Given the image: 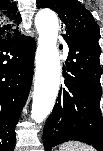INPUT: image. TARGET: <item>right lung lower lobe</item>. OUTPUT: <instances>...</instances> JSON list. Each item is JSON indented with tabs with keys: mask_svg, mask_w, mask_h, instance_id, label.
I'll return each instance as SVG.
<instances>
[{
	"mask_svg": "<svg viewBox=\"0 0 103 151\" xmlns=\"http://www.w3.org/2000/svg\"><path fill=\"white\" fill-rule=\"evenodd\" d=\"M35 42L18 34L0 41V151H14L15 126L28 98Z\"/></svg>",
	"mask_w": 103,
	"mask_h": 151,
	"instance_id": "1",
	"label": "right lung lower lobe"
}]
</instances>
